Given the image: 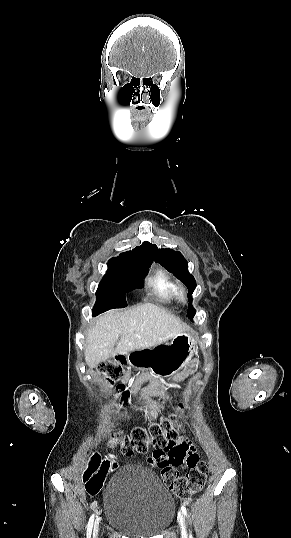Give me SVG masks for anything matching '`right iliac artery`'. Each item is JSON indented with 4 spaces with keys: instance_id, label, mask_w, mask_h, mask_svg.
<instances>
[{
    "instance_id": "right-iliac-artery-1",
    "label": "right iliac artery",
    "mask_w": 291,
    "mask_h": 538,
    "mask_svg": "<svg viewBox=\"0 0 291 538\" xmlns=\"http://www.w3.org/2000/svg\"><path fill=\"white\" fill-rule=\"evenodd\" d=\"M95 514H92V516L89 519L88 525H87V538L91 537L93 522H94Z\"/></svg>"
}]
</instances>
